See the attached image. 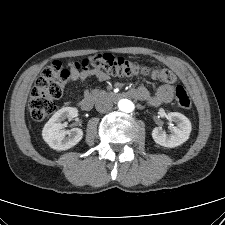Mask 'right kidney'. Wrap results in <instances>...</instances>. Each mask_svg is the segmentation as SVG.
Wrapping results in <instances>:
<instances>
[{
	"instance_id": "ca27d5eb",
	"label": "right kidney",
	"mask_w": 225,
	"mask_h": 225,
	"mask_svg": "<svg viewBox=\"0 0 225 225\" xmlns=\"http://www.w3.org/2000/svg\"><path fill=\"white\" fill-rule=\"evenodd\" d=\"M78 110L73 107H63L58 110L44 125L42 137L44 141L57 151L74 147L83 137V131L79 128L65 130L63 121L75 118Z\"/></svg>"
}]
</instances>
